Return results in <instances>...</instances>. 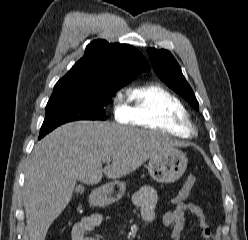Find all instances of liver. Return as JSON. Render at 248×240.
I'll list each match as a JSON object with an SVG mask.
<instances>
[{
	"label": "liver",
	"instance_id": "6515ba94",
	"mask_svg": "<svg viewBox=\"0 0 248 240\" xmlns=\"http://www.w3.org/2000/svg\"><path fill=\"white\" fill-rule=\"evenodd\" d=\"M182 143L169 137L99 121L62 125L39 141L26 167L24 208L30 240H45L72 198L77 181L94 185L103 173L119 179L154 155ZM110 159L102 168V162Z\"/></svg>",
	"mask_w": 248,
	"mask_h": 240
}]
</instances>
